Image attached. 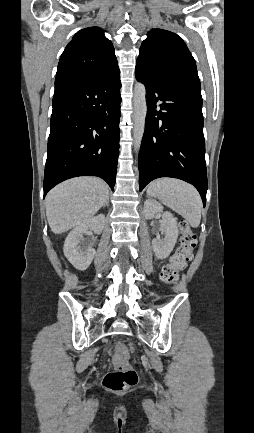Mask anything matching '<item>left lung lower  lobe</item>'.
Returning <instances> with one entry per match:
<instances>
[{"label": "left lung lower lobe", "instance_id": "0a47b994", "mask_svg": "<svg viewBox=\"0 0 254 433\" xmlns=\"http://www.w3.org/2000/svg\"><path fill=\"white\" fill-rule=\"evenodd\" d=\"M135 76L146 87L148 107L138 161L140 191L156 178H178L197 188L205 206L207 171L201 93L163 82L141 66H136Z\"/></svg>", "mask_w": 254, "mask_h": 433}]
</instances>
